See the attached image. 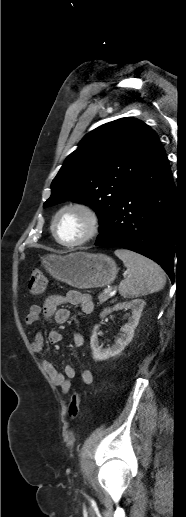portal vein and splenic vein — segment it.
<instances>
[{"mask_svg": "<svg viewBox=\"0 0 186 517\" xmlns=\"http://www.w3.org/2000/svg\"><path fill=\"white\" fill-rule=\"evenodd\" d=\"M105 293H111L112 292V288L111 287H108L104 290Z\"/></svg>", "mask_w": 186, "mask_h": 517, "instance_id": "18ae733b", "label": "portal vein and splenic vein"}]
</instances>
